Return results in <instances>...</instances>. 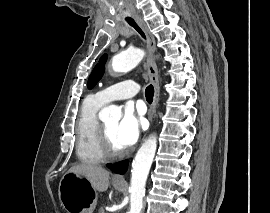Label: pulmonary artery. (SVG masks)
<instances>
[{
	"mask_svg": "<svg viewBox=\"0 0 270 213\" xmlns=\"http://www.w3.org/2000/svg\"><path fill=\"white\" fill-rule=\"evenodd\" d=\"M138 91L139 86L135 81L125 80L98 91L94 97L104 105L113 100L132 99L137 95Z\"/></svg>",
	"mask_w": 270,
	"mask_h": 213,
	"instance_id": "e3ab8cb5",
	"label": "pulmonary artery"
}]
</instances>
